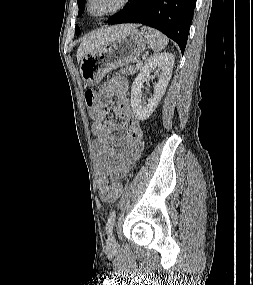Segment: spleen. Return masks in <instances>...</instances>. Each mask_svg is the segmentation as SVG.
Listing matches in <instances>:
<instances>
[{
	"label": "spleen",
	"mask_w": 253,
	"mask_h": 285,
	"mask_svg": "<svg viewBox=\"0 0 253 285\" xmlns=\"http://www.w3.org/2000/svg\"><path fill=\"white\" fill-rule=\"evenodd\" d=\"M141 32L147 39L149 47L154 51L159 52L168 44V38L153 28L142 27Z\"/></svg>",
	"instance_id": "1"
}]
</instances>
